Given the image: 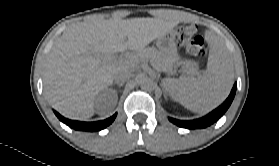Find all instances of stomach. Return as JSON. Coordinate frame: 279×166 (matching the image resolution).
<instances>
[{"mask_svg": "<svg viewBox=\"0 0 279 166\" xmlns=\"http://www.w3.org/2000/svg\"><path fill=\"white\" fill-rule=\"evenodd\" d=\"M156 45L163 54L174 58L175 61L180 62L181 58L177 53L175 34L173 31H170L165 35L157 38Z\"/></svg>", "mask_w": 279, "mask_h": 166, "instance_id": "1", "label": "stomach"}]
</instances>
